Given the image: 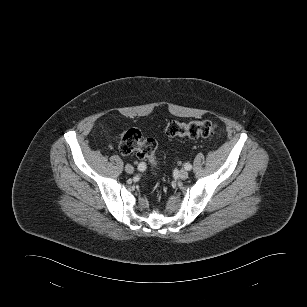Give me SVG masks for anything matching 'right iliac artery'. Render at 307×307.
Listing matches in <instances>:
<instances>
[{"mask_svg": "<svg viewBox=\"0 0 307 307\" xmlns=\"http://www.w3.org/2000/svg\"><path fill=\"white\" fill-rule=\"evenodd\" d=\"M146 169V164L145 163H140L139 165H138V170L139 171H144Z\"/></svg>", "mask_w": 307, "mask_h": 307, "instance_id": "82829eb1", "label": "right iliac artery"}]
</instances>
